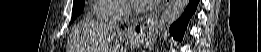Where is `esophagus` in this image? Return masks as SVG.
Instances as JSON below:
<instances>
[{"label": "esophagus", "instance_id": "esophagus-1", "mask_svg": "<svg viewBox=\"0 0 261 52\" xmlns=\"http://www.w3.org/2000/svg\"><path fill=\"white\" fill-rule=\"evenodd\" d=\"M165 5L166 1H163L156 9L155 13L148 17L147 21L149 22L154 18V16L158 15L164 9ZM145 30L146 28L143 23H136L135 25L128 28L127 35L138 38L139 36H142L145 33Z\"/></svg>", "mask_w": 261, "mask_h": 52}]
</instances>
